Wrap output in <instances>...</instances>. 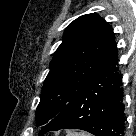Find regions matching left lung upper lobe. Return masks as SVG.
<instances>
[{
  "instance_id": "obj_1",
  "label": "left lung upper lobe",
  "mask_w": 136,
  "mask_h": 136,
  "mask_svg": "<svg viewBox=\"0 0 136 136\" xmlns=\"http://www.w3.org/2000/svg\"><path fill=\"white\" fill-rule=\"evenodd\" d=\"M114 43L112 28L95 13L80 16L66 28L44 81L37 126L46 125L75 97L105 62Z\"/></svg>"
}]
</instances>
